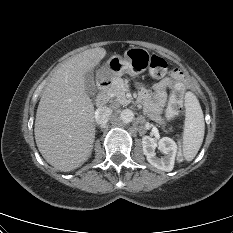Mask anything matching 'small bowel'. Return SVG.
<instances>
[{"label": "small bowel", "instance_id": "1", "mask_svg": "<svg viewBox=\"0 0 233 233\" xmlns=\"http://www.w3.org/2000/svg\"><path fill=\"white\" fill-rule=\"evenodd\" d=\"M185 77L181 70L175 69L170 75L157 82L152 89V95L142 91L141 95L145 103V110L149 116L158 119L167 100V90L171 89L176 82H184Z\"/></svg>", "mask_w": 233, "mask_h": 233}]
</instances>
